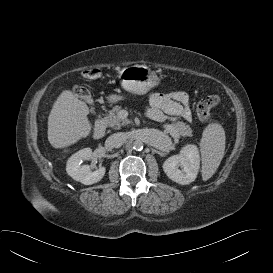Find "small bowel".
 Wrapping results in <instances>:
<instances>
[{
  "label": "small bowel",
  "instance_id": "obj_1",
  "mask_svg": "<svg viewBox=\"0 0 273 273\" xmlns=\"http://www.w3.org/2000/svg\"><path fill=\"white\" fill-rule=\"evenodd\" d=\"M148 115L151 119L163 122L166 116L192 120L189 96L182 91L154 93L149 99Z\"/></svg>",
  "mask_w": 273,
  "mask_h": 273
}]
</instances>
